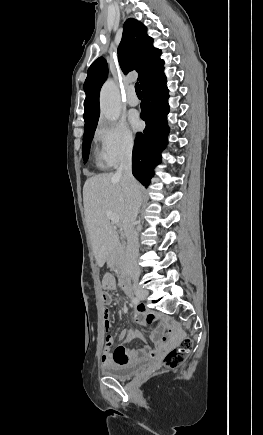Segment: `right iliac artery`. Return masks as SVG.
Here are the masks:
<instances>
[{"instance_id": "82829eb1", "label": "right iliac artery", "mask_w": 263, "mask_h": 435, "mask_svg": "<svg viewBox=\"0 0 263 435\" xmlns=\"http://www.w3.org/2000/svg\"><path fill=\"white\" fill-rule=\"evenodd\" d=\"M132 301H133L134 304H137L139 302V298L134 297Z\"/></svg>"}]
</instances>
